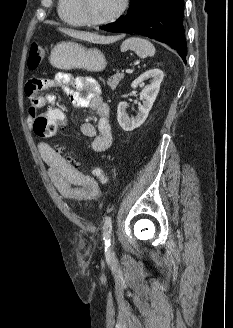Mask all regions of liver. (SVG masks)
I'll return each instance as SVG.
<instances>
[{"label":"liver","mask_w":233,"mask_h":328,"mask_svg":"<svg viewBox=\"0 0 233 328\" xmlns=\"http://www.w3.org/2000/svg\"><path fill=\"white\" fill-rule=\"evenodd\" d=\"M59 31L76 39L89 41L92 43H103L105 38L90 32L77 31L73 29L59 28Z\"/></svg>","instance_id":"6515ba94"}]
</instances>
